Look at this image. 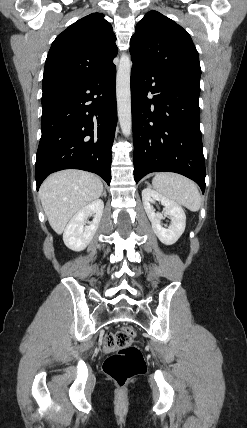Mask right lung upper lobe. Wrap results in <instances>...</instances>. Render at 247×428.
<instances>
[{
    "mask_svg": "<svg viewBox=\"0 0 247 428\" xmlns=\"http://www.w3.org/2000/svg\"><path fill=\"white\" fill-rule=\"evenodd\" d=\"M112 25L100 13L76 21L57 36L43 74L44 91L80 84L113 64L117 55Z\"/></svg>",
    "mask_w": 247,
    "mask_h": 428,
    "instance_id": "cb5924a9",
    "label": "right lung upper lobe"
}]
</instances>
